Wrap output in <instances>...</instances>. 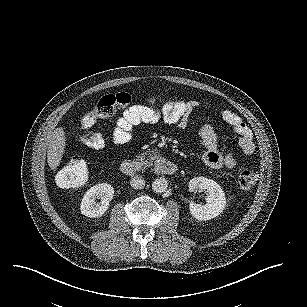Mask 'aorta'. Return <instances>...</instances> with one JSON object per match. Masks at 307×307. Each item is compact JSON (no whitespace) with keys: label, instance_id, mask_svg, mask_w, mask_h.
Instances as JSON below:
<instances>
[{"label":"aorta","instance_id":"762f6f07","mask_svg":"<svg viewBox=\"0 0 307 307\" xmlns=\"http://www.w3.org/2000/svg\"><path fill=\"white\" fill-rule=\"evenodd\" d=\"M168 186V179L164 177H159L153 181L152 189L157 193H164L167 191Z\"/></svg>","mask_w":307,"mask_h":307}]
</instances>
